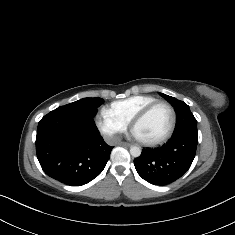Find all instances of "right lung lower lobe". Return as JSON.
I'll use <instances>...</instances> for the list:
<instances>
[{"instance_id": "obj_1", "label": "right lung lower lobe", "mask_w": 235, "mask_h": 235, "mask_svg": "<svg viewBox=\"0 0 235 235\" xmlns=\"http://www.w3.org/2000/svg\"><path fill=\"white\" fill-rule=\"evenodd\" d=\"M112 147L100 136L93 118L55 109L38 123L36 153L43 171L71 186L97 177L110 158Z\"/></svg>"}]
</instances>
